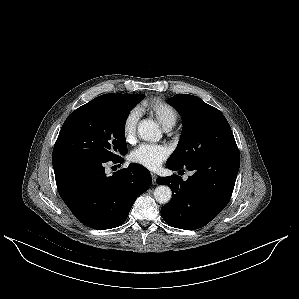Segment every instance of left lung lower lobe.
Here are the masks:
<instances>
[{
	"mask_svg": "<svg viewBox=\"0 0 299 299\" xmlns=\"http://www.w3.org/2000/svg\"><path fill=\"white\" fill-rule=\"evenodd\" d=\"M240 166L237 147L213 153L186 166L166 167L194 171L186 181L177 175L159 177L157 184L172 190V199L161 208L167 224L179 229H199L213 220L228 204ZM183 171V170H181Z\"/></svg>",
	"mask_w": 299,
	"mask_h": 299,
	"instance_id": "obj_1",
	"label": "left lung lower lobe"
}]
</instances>
